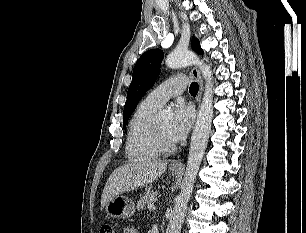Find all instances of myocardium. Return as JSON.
I'll use <instances>...</instances> for the list:
<instances>
[{
  "mask_svg": "<svg viewBox=\"0 0 306 233\" xmlns=\"http://www.w3.org/2000/svg\"><path fill=\"white\" fill-rule=\"evenodd\" d=\"M151 137H152L153 144L159 153H171L175 151L176 149L175 144L168 143L163 139L155 122H153V125H152Z\"/></svg>",
  "mask_w": 306,
  "mask_h": 233,
  "instance_id": "f54148a6",
  "label": "myocardium"
}]
</instances>
